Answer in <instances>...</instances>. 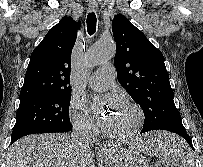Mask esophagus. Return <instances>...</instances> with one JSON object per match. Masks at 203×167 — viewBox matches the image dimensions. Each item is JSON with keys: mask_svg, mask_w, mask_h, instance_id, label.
Instances as JSON below:
<instances>
[{"mask_svg": "<svg viewBox=\"0 0 203 167\" xmlns=\"http://www.w3.org/2000/svg\"><path fill=\"white\" fill-rule=\"evenodd\" d=\"M89 10L91 12L97 11L98 10V5L96 3H94V2L89 3ZM101 150L106 151L107 149H106V147H103Z\"/></svg>", "mask_w": 203, "mask_h": 167, "instance_id": "34e87169", "label": "esophagus"}]
</instances>
